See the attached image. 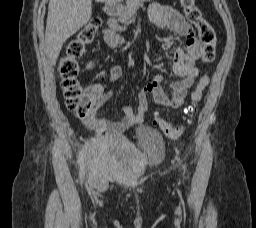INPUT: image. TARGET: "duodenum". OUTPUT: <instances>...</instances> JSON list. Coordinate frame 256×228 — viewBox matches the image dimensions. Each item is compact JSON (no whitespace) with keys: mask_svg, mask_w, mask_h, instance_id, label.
Returning a JSON list of instances; mask_svg holds the SVG:
<instances>
[{"mask_svg":"<svg viewBox=\"0 0 256 228\" xmlns=\"http://www.w3.org/2000/svg\"><path fill=\"white\" fill-rule=\"evenodd\" d=\"M119 6L115 3H107L104 6L105 14L108 17H114L119 13ZM104 40L110 46H115L120 42V38L110 30H106L104 33Z\"/></svg>","mask_w":256,"mask_h":228,"instance_id":"410a0bca","label":"duodenum"}]
</instances>
